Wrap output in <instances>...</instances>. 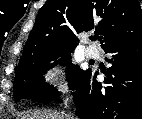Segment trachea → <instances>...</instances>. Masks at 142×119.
Instances as JSON below:
<instances>
[{
	"label": "trachea",
	"instance_id": "trachea-1",
	"mask_svg": "<svg viewBox=\"0 0 142 119\" xmlns=\"http://www.w3.org/2000/svg\"><path fill=\"white\" fill-rule=\"evenodd\" d=\"M100 40V37L98 35H94L91 37V40L95 41V40Z\"/></svg>",
	"mask_w": 142,
	"mask_h": 119
}]
</instances>
